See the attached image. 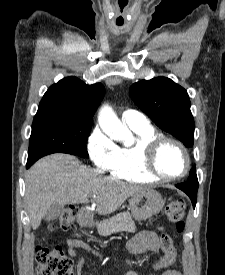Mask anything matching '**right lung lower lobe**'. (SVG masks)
<instances>
[{"label":"right lung lower lobe","instance_id":"right-lung-lower-lobe-1","mask_svg":"<svg viewBox=\"0 0 225 275\" xmlns=\"http://www.w3.org/2000/svg\"><path fill=\"white\" fill-rule=\"evenodd\" d=\"M31 165L29 163H27V168L30 167Z\"/></svg>","mask_w":225,"mask_h":275}]
</instances>
